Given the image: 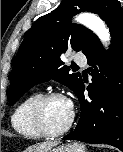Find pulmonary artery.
<instances>
[{"label": "pulmonary artery", "mask_w": 123, "mask_h": 152, "mask_svg": "<svg viewBox=\"0 0 123 152\" xmlns=\"http://www.w3.org/2000/svg\"><path fill=\"white\" fill-rule=\"evenodd\" d=\"M74 61L78 64L85 65L86 64V58L83 55H76L74 57Z\"/></svg>", "instance_id": "1"}]
</instances>
